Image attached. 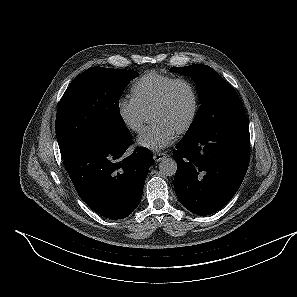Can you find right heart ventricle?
<instances>
[{"label":"right heart ventricle","mask_w":297,"mask_h":297,"mask_svg":"<svg viewBox=\"0 0 297 297\" xmlns=\"http://www.w3.org/2000/svg\"><path fill=\"white\" fill-rule=\"evenodd\" d=\"M173 79V76L155 71L144 73L131 87L132 98L147 114L160 97L164 88Z\"/></svg>","instance_id":"obj_1"}]
</instances>
